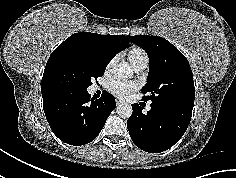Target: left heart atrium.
<instances>
[{
  "mask_svg": "<svg viewBox=\"0 0 236 178\" xmlns=\"http://www.w3.org/2000/svg\"><path fill=\"white\" fill-rule=\"evenodd\" d=\"M136 89L137 85L134 82L112 80L108 84V91L120 99L128 98V96Z\"/></svg>",
  "mask_w": 236,
  "mask_h": 178,
  "instance_id": "obj_1",
  "label": "left heart atrium"
}]
</instances>
